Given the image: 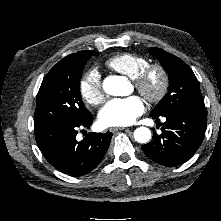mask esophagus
Returning <instances> with one entry per match:
<instances>
[{
  "label": "esophagus",
  "instance_id": "1",
  "mask_svg": "<svg viewBox=\"0 0 221 221\" xmlns=\"http://www.w3.org/2000/svg\"><path fill=\"white\" fill-rule=\"evenodd\" d=\"M118 130H128V128H125V127H111L109 129V131H111V132H115V131H118Z\"/></svg>",
  "mask_w": 221,
  "mask_h": 221
}]
</instances>
